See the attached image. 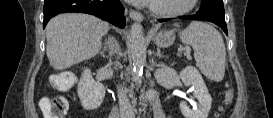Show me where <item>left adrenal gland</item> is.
<instances>
[{
	"label": "left adrenal gland",
	"instance_id": "a2214340",
	"mask_svg": "<svg viewBox=\"0 0 273 118\" xmlns=\"http://www.w3.org/2000/svg\"><path fill=\"white\" fill-rule=\"evenodd\" d=\"M157 57L161 58L162 55H161V52H160V49H157V53L155 54Z\"/></svg>",
	"mask_w": 273,
	"mask_h": 118
}]
</instances>
